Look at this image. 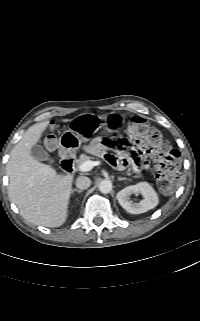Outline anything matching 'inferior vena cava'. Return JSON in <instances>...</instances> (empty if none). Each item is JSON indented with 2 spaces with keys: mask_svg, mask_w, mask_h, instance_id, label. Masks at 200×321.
<instances>
[{
  "mask_svg": "<svg viewBox=\"0 0 200 321\" xmlns=\"http://www.w3.org/2000/svg\"><path fill=\"white\" fill-rule=\"evenodd\" d=\"M90 184H91V180L86 176H79L76 179V186L81 190L89 188Z\"/></svg>",
  "mask_w": 200,
  "mask_h": 321,
  "instance_id": "602c4592",
  "label": "inferior vena cava"
}]
</instances>
